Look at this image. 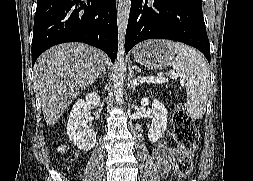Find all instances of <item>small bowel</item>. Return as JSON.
Returning <instances> with one entry per match:
<instances>
[{"mask_svg": "<svg viewBox=\"0 0 253 181\" xmlns=\"http://www.w3.org/2000/svg\"><path fill=\"white\" fill-rule=\"evenodd\" d=\"M179 154V149L170 147L166 143H161L154 149L153 160L162 176H167L169 174L171 166Z\"/></svg>", "mask_w": 253, "mask_h": 181, "instance_id": "small-bowel-1", "label": "small bowel"}]
</instances>
